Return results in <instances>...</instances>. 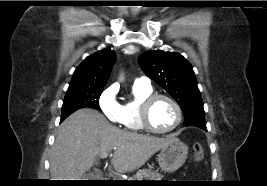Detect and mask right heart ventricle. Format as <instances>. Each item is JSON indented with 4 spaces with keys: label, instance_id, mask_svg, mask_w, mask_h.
Listing matches in <instances>:
<instances>
[{
    "label": "right heart ventricle",
    "instance_id": "obj_1",
    "mask_svg": "<svg viewBox=\"0 0 267 186\" xmlns=\"http://www.w3.org/2000/svg\"><path fill=\"white\" fill-rule=\"evenodd\" d=\"M152 93L151 86L134 84L132 89L133 97L120 105L118 123L128 131L140 132L144 128L140 122L139 110L141 102Z\"/></svg>",
    "mask_w": 267,
    "mask_h": 186
}]
</instances>
